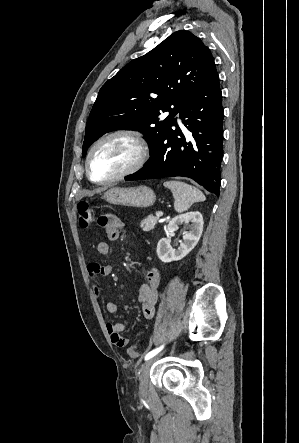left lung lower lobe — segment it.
<instances>
[{
	"mask_svg": "<svg viewBox=\"0 0 299 443\" xmlns=\"http://www.w3.org/2000/svg\"><path fill=\"white\" fill-rule=\"evenodd\" d=\"M221 94L219 76L214 68L179 111V117L190 133L185 136L174 119L144 167L125 180L183 176L219 196L223 153Z\"/></svg>",
	"mask_w": 299,
	"mask_h": 443,
	"instance_id": "left-lung-lower-lobe-1",
	"label": "left lung lower lobe"
}]
</instances>
